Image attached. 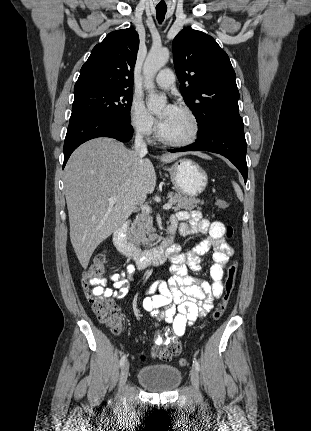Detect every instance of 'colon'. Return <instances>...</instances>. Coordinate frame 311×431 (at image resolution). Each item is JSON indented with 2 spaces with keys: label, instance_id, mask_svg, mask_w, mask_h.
Wrapping results in <instances>:
<instances>
[{
  "label": "colon",
  "instance_id": "1",
  "mask_svg": "<svg viewBox=\"0 0 311 431\" xmlns=\"http://www.w3.org/2000/svg\"><path fill=\"white\" fill-rule=\"evenodd\" d=\"M215 206L218 209L225 210L228 208V202L223 199H216ZM233 233V228L228 226L226 230V236L231 238ZM105 264V253L98 254L94 258L89 268L84 272L82 282L85 293L91 302L93 310L98 316L99 320L105 323L112 332L118 334L123 328V320L119 309L112 299L98 292L100 279L104 272ZM237 269L238 264L236 261L232 262L227 269L223 295L212 314L215 320L221 318L226 310L227 304L235 287ZM180 350L181 345L177 340L160 339L155 342V345L152 349V356L162 360H169L176 356ZM178 363L180 366H186L187 360L185 358H180Z\"/></svg>",
  "mask_w": 311,
  "mask_h": 431
}]
</instances>
